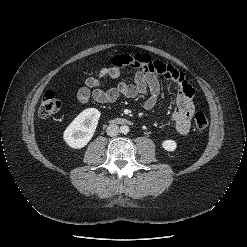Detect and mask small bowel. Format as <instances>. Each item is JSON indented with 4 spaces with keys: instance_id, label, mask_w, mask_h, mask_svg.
Masks as SVG:
<instances>
[{
    "instance_id": "obj_1",
    "label": "small bowel",
    "mask_w": 247,
    "mask_h": 247,
    "mask_svg": "<svg viewBox=\"0 0 247 247\" xmlns=\"http://www.w3.org/2000/svg\"><path fill=\"white\" fill-rule=\"evenodd\" d=\"M125 69L133 70L132 84L120 81L108 90L101 88L104 80L121 78ZM158 75L176 85V107L172 113V121L176 132L186 135L190 131L195 109L194 89L182 72L166 62L154 60L148 54L114 56L110 66L101 68L96 76L86 78L85 87L79 90L77 98L81 103H86L91 98L98 103H113L120 96L134 98L147 95L143 107L150 110L157 104L161 91Z\"/></svg>"
}]
</instances>
